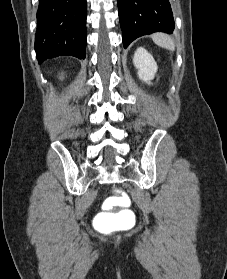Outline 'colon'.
<instances>
[{
	"label": "colon",
	"mask_w": 227,
	"mask_h": 279,
	"mask_svg": "<svg viewBox=\"0 0 227 279\" xmlns=\"http://www.w3.org/2000/svg\"><path fill=\"white\" fill-rule=\"evenodd\" d=\"M111 201L119 207L114 210L104 211L99 215L98 222L102 231L121 228L128 219L129 209L123 206L130 201L129 194L122 190L113 189Z\"/></svg>",
	"instance_id": "5ec220e1"
}]
</instances>
